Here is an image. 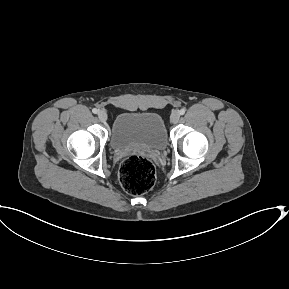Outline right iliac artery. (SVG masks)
<instances>
[{
	"label": "right iliac artery",
	"mask_w": 289,
	"mask_h": 289,
	"mask_svg": "<svg viewBox=\"0 0 289 289\" xmlns=\"http://www.w3.org/2000/svg\"><path fill=\"white\" fill-rule=\"evenodd\" d=\"M92 112H93L94 114H96V113L98 112V110H97L96 108H93V109H92Z\"/></svg>",
	"instance_id": "1"
}]
</instances>
